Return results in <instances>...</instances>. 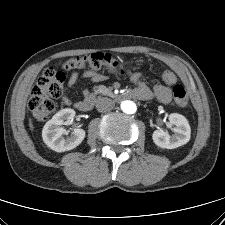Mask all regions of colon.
I'll return each mask as SVG.
<instances>
[{
	"instance_id": "colon-1",
	"label": "colon",
	"mask_w": 225,
	"mask_h": 225,
	"mask_svg": "<svg viewBox=\"0 0 225 225\" xmlns=\"http://www.w3.org/2000/svg\"><path fill=\"white\" fill-rule=\"evenodd\" d=\"M65 67L67 69L90 67L116 74H128L131 71L130 65L116 59L109 53L103 52L71 58L66 62ZM65 79V71L49 67L36 81L28 103L29 109L36 120L44 121L54 112L56 107L55 99H58L62 95V86ZM161 79L168 84L176 82V76L170 70H164L161 73ZM172 92L174 101L179 107L185 108L189 105L188 94L182 85L176 84Z\"/></svg>"
}]
</instances>
